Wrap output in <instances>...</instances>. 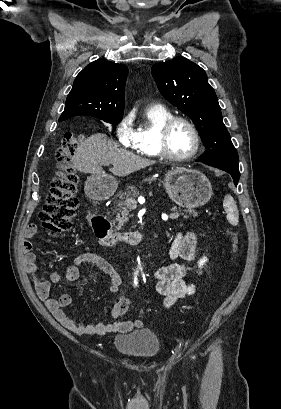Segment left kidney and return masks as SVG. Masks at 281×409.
<instances>
[{
    "label": "left kidney",
    "instance_id": "obj_1",
    "mask_svg": "<svg viewBox=\"0 0 281 409\" xmlns=\"http://www.w3.org/2000/svg\"><path fill=\"white\" fill-rule=\"evenodd\" d=\"M208 259H206V257H203V259H200V261H198V267H200V269H202L203 265H205V263H207Z\"/></svg>",
    "mask_w": 281,
    "mask_h": 409
}]
</instances>
